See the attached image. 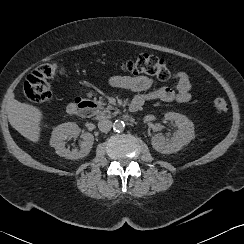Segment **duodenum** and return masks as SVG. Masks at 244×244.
Here are the masks:
<instances>
[{
  "label": "duodenum",
  "mask_w": 244,
  "mask_h": 244,
  "mask_svg": "<svg viewBox=\"0 0 244 244\" xmlns=\"http://www.w3.org/2000/svg\"><path fill=\"white\" fill-rule=\"evenodd\" d=\"M131 111H137L134 107V104H130L129 106ZM69 113L78 114L81 116H90L95 111V105L93 102L89 100H76L73 103H70L67 108Z\"/></svg>",
  "instance_id": "410a0bca"
}]
</instances>
